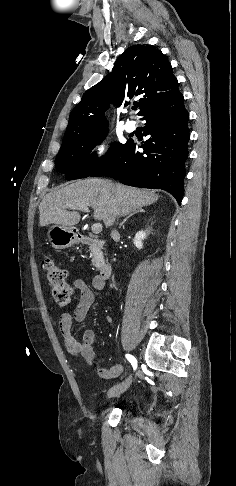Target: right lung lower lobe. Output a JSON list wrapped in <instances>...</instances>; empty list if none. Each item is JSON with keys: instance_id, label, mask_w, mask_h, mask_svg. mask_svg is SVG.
Returning a JSON list of instances; mask_svg holds the SVG:
<instances>
[{"instance_id": "1", "label": "right lung lower lobe", "mask_w": 236, "mask_h": 486, "mask_svg": "<svg viewBox=\"0 0 236 486\" xmlns=\"http://www.w3.org/2000/svg\"><path fill=\"white\" fill-rule=\"evenodd\" d=\"M140 116L146 121L144 135H150L141 146L144 152L139 153V146L129 140L90 176H109L130 186L163 189L180 204L189 141V114L183 95L157 102Z\"/></svg>"}]
</instances>
